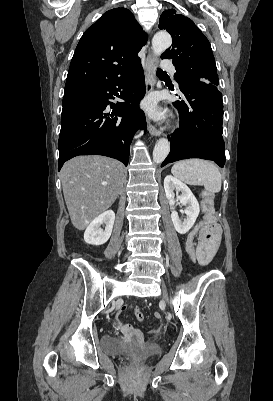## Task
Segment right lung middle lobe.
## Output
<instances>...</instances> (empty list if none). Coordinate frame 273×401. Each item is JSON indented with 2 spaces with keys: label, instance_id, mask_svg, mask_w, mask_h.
<instances>
[{
  "label": "right lung middle lobe",
  "instance_id": "dd1d6c3e",
  "mask_svg": "<svg viewBox=\"0 0 273 401\" xmlns=\"http://www.w3.org/2000/svg\"><path fill=\"white\" fill-rule=\"evenodd\" d=\"M70 98H72V97H69V98H63V101H66V100H68V99H70Z\"/></svg>",
  "mask_w": 273,
  "mask_h": 401
}]
</instances>
